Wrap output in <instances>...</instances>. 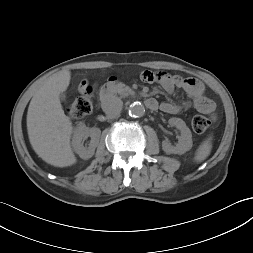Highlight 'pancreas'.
I'll list each match as a JSON object with an SVG mask.
<instances>
[{
	"mask_svg": "<svg viewBox=\"0 0 253 253\" xmlns=\"http://www.w3.org/2000/svg\"><path fill=\"white\" fill-rule=\"evenodd\" d=\"M116 92L121 96H127L129 94H134V91L123 83H118L116 87Z\"/></svg>",
	"mask_w": 253,
	"mask_h": 253,
	"instance_id": "cf45deb5",
	"label": "pancreas"
}]
</instances>
